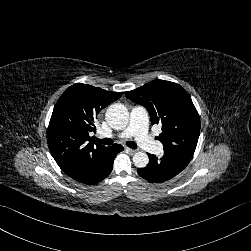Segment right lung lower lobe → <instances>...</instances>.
Listing matches in <instances>:
<instances>
[{"instance_id": "98d812e1", "label": "right lung lower lobe", "mask_w": 251, "mask_h": 251, "mask_svg": "<svg viewBox=\"0 0 251 251\" xmlns=\"http://www.w3.org/2000/svg\"><path fill=\"white\" fill-rule=\"evenodd\" d=\"M122 150H123L122 145L114 144L113 146L110 147L109 157L105 160L104 163H102L98 167L92 168L91 170L87 171L85 174H82L81 176H78L73 179L80 183H84L88 185L99 183L111 173L112 168H113L114 158Z\"/></svg>"}]
</instances>
